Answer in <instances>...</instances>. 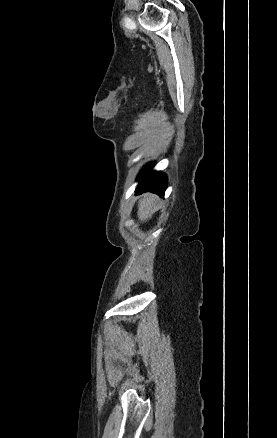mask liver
<instances>
[{
	"mask_svg": "<svg viewBox=\"0 0 277 438\" xmlns=\"http://www.w3.org/2000/svg\"><path fill=\"white\" fill-rule=\"evenodd\" d=\"M155 204L156 196H153V194H145V196H142V200H139L137 212V216L141 222H146V220L152 218Z\"/></svg>",
	"mask_w": 277,
	"mask_h": 438,
	"instance_id": "1",
	"label": "liver"
}]
</instances>
